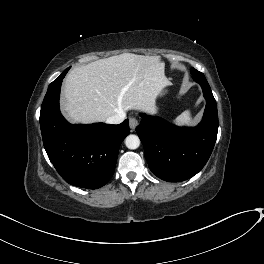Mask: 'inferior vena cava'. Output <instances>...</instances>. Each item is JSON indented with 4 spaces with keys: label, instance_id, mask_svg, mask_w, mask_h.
<instances>
[{
    "label": "inferior vena cava",
    "instance_id": "inferior-vena-cava-1",
    "mask_svg": "<svg viewBox=\"0 0 264 264\" xmlns=\"http://www.w3.org/2000/svg\"><path fill=\"white\" fill-rule=\"evenodd\" d=\"M125 112L124 111H120L118 112L117 114L111 116V117H108L106 119V123L108 124H120L121 122L124 121L125 119Z\"/></svg>",
    "mask_w": 264,
    "mask_h": 264
}]
</instances>
